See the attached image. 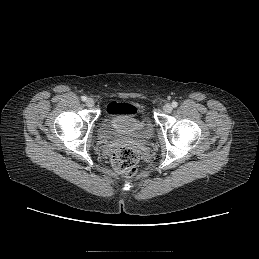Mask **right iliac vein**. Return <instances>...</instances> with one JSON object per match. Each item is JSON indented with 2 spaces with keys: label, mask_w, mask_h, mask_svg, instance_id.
I'll return each instance as SVG.
<instances>
[{
  "label": "right iliac vein",
  "mask_w": 259,
  "mask_h": 259,
  "mask_svg": "<svg viewBox=\"0 0 259 259\" xmlns=\"http://www.w3.org/2000/svg\"><path fill=\"white\" fill-rule=\"evenodd\" d=\"M86 105L88 107H93L94 106V100L92 98H88L86 101Z\"/></svg>",
  "instance_id": "right-iliac-vein-1"
}]
</instances>
